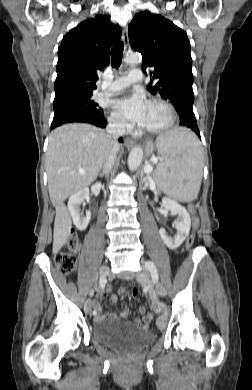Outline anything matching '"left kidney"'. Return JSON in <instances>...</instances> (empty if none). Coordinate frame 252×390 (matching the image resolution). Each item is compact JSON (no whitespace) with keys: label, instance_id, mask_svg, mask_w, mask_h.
<instances>
[{"label":"left kidney","instance_id":"left-kidney-1","mask_svg":"<svg viewBox=\"0 0 252 390\" xmlns=\"http://www.w3.org/2000/svg\"><path fill=\"white\" fill-rule=\"evenodd\" d=\"M156 202L158 198L154 199ZM162 205L166 210H169L171 214L177 215V221L174 224V227L177 230V233L174 238L169 237L164 229H160L159 234L164 242V244L171 250L177 249L189 235L191 227V218L187 210L181 206L178 202L170 199L163 198Z\"/></svg>","mask_w":252,"mask_h":390}]
</instances>
